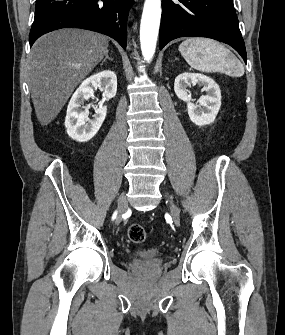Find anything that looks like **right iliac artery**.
<instances>
[{
	"label": "right iliac artery",
	"mask_w": 285,
	"mask_h": 335,
	"mask_svg": "<svg viewBox=\"0 0 285 335\" xmlns=\"http://www.w3.org/2000/svg\"><path fill=\"white\" fill-rule=\"evenodd\" d=\"M117 212H114L112 219L114 220L116 218Z\"/></svg>",
	"instance_id": "right-iliac-artery-1"
}]
</instances>
